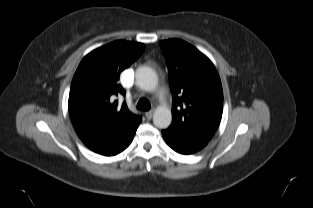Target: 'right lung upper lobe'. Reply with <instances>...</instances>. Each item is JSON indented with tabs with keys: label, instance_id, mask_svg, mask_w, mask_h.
Wrapping results in <instances>:
<instances>
[{
	"label": "right lung upper lobe",
	"instance_id": "cb5924a9",
	"mask_svg": "<svg viewBox=\"0 0 313 208\" xmlns=\"http://www.w3.org/2000/svg\"><path fill=\"white\" fill-rule=\"evenodd\" d=\"M138 42L114 41L86 55L72 80L68 109L78 133L118 131L130 134L141 117L132 114L124 102L118 108L114 96L125 94L118 84L120 73L144 51Z\"/></svg>",
	"mask_w": 313,
	"mask_h": 208
}]
</instances>
